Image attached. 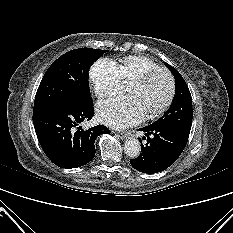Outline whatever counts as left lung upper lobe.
<instances>
[{"label":"left lung upper lobe","instance_id":"1","mask_svg":"<svg viewBox=\"0 0 233 233\" xmlns=\"http://www.w3.org/2000/svg\"><path fill=\"white\" fill-rule=\"evenodd\" d=\"M165 65L175 77L176 95L168 111L154 123L171 126L189 137L193 116L192 97L181 74L171 65L167 63Z\"/></svg>","mask_w":233,"mask_h":233}]
</instances>
